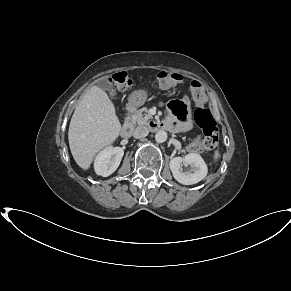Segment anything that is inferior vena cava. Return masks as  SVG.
<instances>
[{
  "instance_id": "1",
  "label": "inferior vena cava",
  "mask_w": 291,
  "mask_h": 291,
  "mask_svg": "<svg viewBox=\"0 0 291 291\" xmlns=\"http://www.w3.org/2000/svg\"><path fill=\"white\" fill-rule=\"evenodd\" d=\"M149 133V130L146 126H138L133 133L134 138H143L146 137Z\"/></svg>"
}]
</instances>
